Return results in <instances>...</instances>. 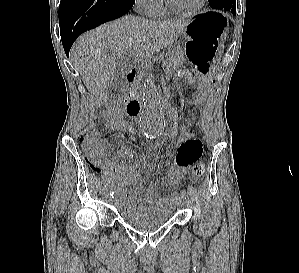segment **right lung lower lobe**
I'll return each instance as SVG.
<instances>
[{
    "label": "right lung lower lobe",
    "mask_w": 299,
    "mask_h": 273,
    "mask_svg": "<svg viewBox=\"0 0 299 273\" xmlns=\"http://www.w3.org/2000/svg\"><path fill=\"white\" fill-rule=\"evenodd\" d=\"M135 0H61L59 24L66 55L83 32L126 14Z\"/></svg>",
    "instance_id": "98d812e1"
}]
</instances>
